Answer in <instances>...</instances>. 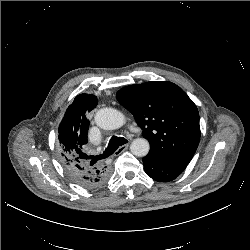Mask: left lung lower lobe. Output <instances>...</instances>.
<instances>
[{
	"instance_id": "0a47b994",
	"label": "left lung lower lobe",
	"mask_w": 250,
	"mask_h": 250,
	"mask_svg": "<svg viewBox=\"0 0 250 250\" xmlns=\"http://www.w3.org/2000/svg\"><path fill=\"white\" fill-rule=\"evenodd\" d=\"M144 170L148 176L159 182H168L179 176L187 164L168 162L153 155L143 157Z\"/></svg>"
}]
</instances>
